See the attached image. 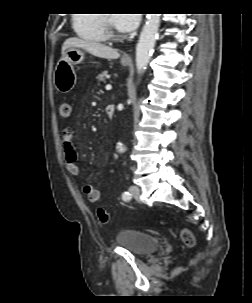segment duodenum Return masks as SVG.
<instances>
[{"label":"duodenum","instance_id":"duodenum-1","mask_svg":"<svg viewBox=\"0 0 252 303\" xmlns=\"http://www.w3.org/2000/svg\"><path fill=\"white\" fill-rule=\"evenodd\" d=\"M114 112H115V108L113 105H108L106 108H105V113L107 115L108 118H112L113 115H114Z\"/></svg>","mask_w":252,"mask_h":303}]
</instances>
